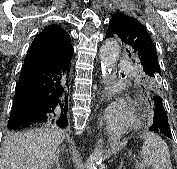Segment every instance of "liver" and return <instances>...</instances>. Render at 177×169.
Wrapping results in <instances>:
<instances>
[{
	"mask_svg": "<svg viewBox=\"0 0 177 169\" xmlns=\"http://www.w3.org/2000/svg\"><path fill=\"white\" fill-rule=\"evenodd\" d=\"M63 139L50 128L11 134L2 144L0 169H50Z\"/></svg>",
	"mask_w": 177,
	"mask_h": 169,
	"instance_id": "liver-1",
	"label": "liver"
}]
</instances>
